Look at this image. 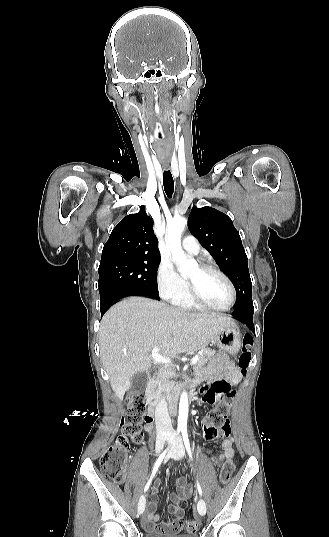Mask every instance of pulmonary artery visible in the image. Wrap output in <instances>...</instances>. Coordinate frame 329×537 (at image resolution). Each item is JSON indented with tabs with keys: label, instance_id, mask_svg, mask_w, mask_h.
I'll return each instance as SVG.
<instances>
[{
	"label": "pulmonary artery",
	"instance_id": "obj_1",
	"mask_svg": "<svg viewBox=\"0 0 329 537\" xmlns=\"http://www.w3.org/2000/svg\"><path fill=\"white\" fill-rule=\"evenodd\" d=\"M182 247L187 252L198 254L200 251V245L195 237L186 236L182 241Z\"/></svg>",
	"mask_w": 329,
	"mask_h": 537
}]
</instances>
